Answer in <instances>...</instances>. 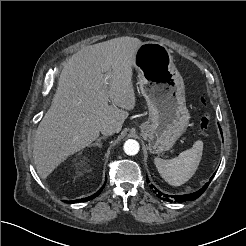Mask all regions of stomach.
<instances>
[{
  "label": "stomach",
  "mask_w": 246,
  "mask_h": 246,
  "mask_svg": "<svg viewBox=\"0 0 246 246\" xmlns=\"http://www.w3.org/2000/svg\"><path fill=\"white\" fill-rule=\"evenodd\" d=\"M134 67L149 110L148 120L140 125L141 136L151 153L160 154L171 149L188 127L190 115L183 78L170 49L158 42L140 45Z\"/></svg>",
  "instance_id": "stomach-1"
}]
</instances>
